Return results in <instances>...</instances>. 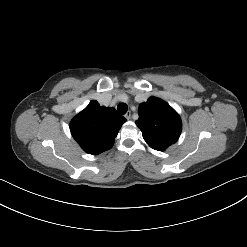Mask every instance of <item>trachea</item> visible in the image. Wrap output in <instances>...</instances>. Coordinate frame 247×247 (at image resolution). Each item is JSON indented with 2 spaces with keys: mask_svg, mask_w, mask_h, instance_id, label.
<instances>
[{
  "mask_svg": "<svg viewBox=\"0 0 247 247\" xmlns=\"http://www.w3.org/2000/svg\"><path fill=\"white\" fill-rule=\"evenodd\" d=\"M117 110L119 113L121 114H125L128 110V106L127 104L125 103H120L118 106H117Z\"/></svg>",
  "mask_w": 247,
  "mask_h": 247,
  "instance_id": "1",
  "label": "trachea"
}]
</instances>
